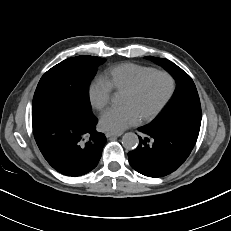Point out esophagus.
Here are the masks:
<instances>
[{
  "mask_svg": "<svg viewBox=\"0 0 231 231\" xmlns=\"http://www.w3.org/2000/svg\"><path fill=\"white\" fill-rule=\"evenodd\" d=\"M121 135H122V132H120V133L108 132V133L105 134V136H106L107 138L119 137V136H121Z\"/></svg>",
  "mask_w": 231,
  "mask_h": 231,
  "instance_id": "1",
  "label": "esophagus"
}]
</instances>
